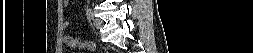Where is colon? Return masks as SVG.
<instances>
[{
  "label": "colon",
  "mask_w": 253,
  "mask_h": 53,
  "mask_svg": "<svg viewBox=\"0 0 253 53\" xmlns=\"http://www.w3.org/2000/svg\"><path fill=\"white\" fill-rule=\"evenodd\" d=\"M78 47L88 50H94L96 47V44L93 41L88 40H79Z\"/></svg>",
  "instance_id": "5ec220e1"
}]
</instances>
